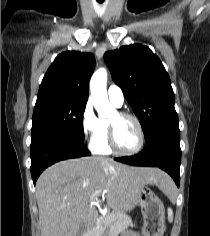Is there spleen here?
I'll return each instance as SVG.
<instances>
[{
  "label": "spleen",
  "mask_w": 210,
  "mask_h": 236,
  "mask_svg": "<svg viewBox=\"0 0 210 236\" xmlns=\"http://www.w3.org/2000/svg\"><path fill=\"white\" fill-rule=\"evenodd\" d=\"M174 191V186H173V183H167L165 184V193H167L168 195H171ZM172 217H173V212H172V209H168V218L169 220H172Z\"/></svg>",
  "instance_id": "1"
}]
</instances>
